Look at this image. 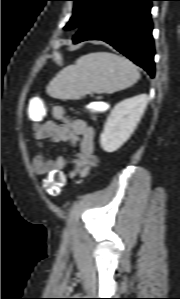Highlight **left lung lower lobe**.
Returning a JSON list of instances; mask_svg holds the SVG:
<instances>
[{
    "label": "left lung lower lobe",
    "instance_id": "1",
    "mask_svg": "<svg viewBox=\"0 0 180 299\" xmlns=\"http://www.w3.org/2000/svg\"><path fill=\"white\" fill-rule=\"evenodd\" d=\"M152 1L155 0H98L73 37L74 43L102 40L153 78Z\"/></svg>",
    "mask_w": 180,
    "mask_h": 299
}]
</instances>
